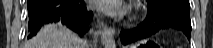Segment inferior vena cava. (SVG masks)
<instances>
[{
	"mask_svg": "<svg viewBox=\"0 0 213 48\" xmlns=\"http://www.w3.org/2000/svg\"><path fill=\"white\" fill-rule=\"evenodd\" d=\"M98 34H99L98 32H95V34H94V38H93V41H94V42H96V41H97V36H98ZM87 45H88V44H87Z\"/></svg>",
	"mask_w": 213,
	"mask_h": 48,
	"instance_id": "obj_1",
	"label": "inferior vena cava"
}]
</instances>
